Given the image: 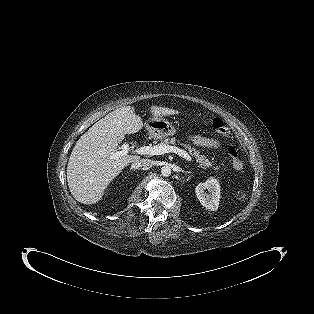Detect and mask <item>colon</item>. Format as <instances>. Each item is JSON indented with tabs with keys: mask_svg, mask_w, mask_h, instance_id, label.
<instances>
[{
	"mask_svg": "<svg viewBox=\"0 0 314 314\" xmlns=\"http://www.w3.org/2000/svg\"><path fill=\"white\" fill-rule=\"evenodd\" d=\"M211 126L216 135L224 139L230 138L229 129L227 128L226 123L221 118L214 117L212 119ZM226 153L229 157L232 167L237 171H242L245 165L243 160L238 156L237 150L233 146L229 145L226 147Z\"/></svg>",
	"mask_w": 314,
	"mask_h": 314,
	"instance_id": "colon-1",
	"label": "colon"
}]
</instances>
